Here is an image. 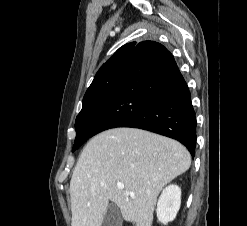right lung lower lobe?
<instances>
[{
  "mask_svg": "<svg viewBox=\"0 0 247 226\" xmlns=\"http://www.w3.org/2000/svg\"><path fill=\"white\" fill-rule=\"evenodd\" d=\"M115 127L140 128L176 139L194 157L196 117L191 95L173 55L163 45L136 44L92 136Z\"/></svg>",
  "mask_w": 247,
  "mask_h": 226,
  "instance_id": "98d812e1",
  "label": "right lung lower lobe"
}]
</instances>
